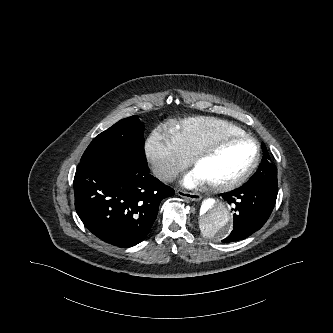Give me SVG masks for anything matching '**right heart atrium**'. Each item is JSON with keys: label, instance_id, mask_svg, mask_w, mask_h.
<instances>
[{"label": "right heart atrium", "instance_id": "right-heart-atrium-1", "mask_svg": "<svg viewBox=\"0 0 333 333\" xmlns=\"http://www.w3.org/2000/svg\"><path fill=\"white\" fill-rule=\"evenodd\" d=\"M144 156L155 176L163 181L174 179L189 164V158L162 127L155 128L147 138Z\"/></svg>", "mask_w": 333, "mask_h": 333}]
</instances>
